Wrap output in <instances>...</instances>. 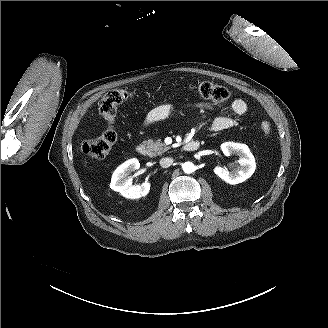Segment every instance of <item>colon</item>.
<instances>
[{
    "mask_svg": "<svg viewBox=\"0 0 328 328\" xmlns=\"http://www.w3.org/2000/svg\"><path fill=\"white\" fill-rule=\"evenodd\" d=\"M189 89L215 103H224L230 98V92L227 88L211 82L192 84ZM133 98L134 94L124 89H114L103 96L99 103V113L108 123V127L98 137L82 143L81 151L85 155L93 159H102L111 151L117 140L113 123L118 107ZM260 127L265 134L271 131V125L268 121H262Z\"/></svg>",
    "mask_w": 328,
    "mask_h": 328,
    "instance_id": "5ec220e1",
    "label": "colon"
}]
</instances>
